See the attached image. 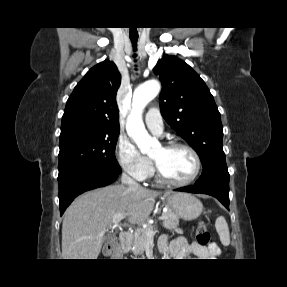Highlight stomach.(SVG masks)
I'll return each mask as SVG.
<instances>
[{"mask_svg":"<svg viewBox=\"0 0 287 287\" xmlns=\"http://www.w3.org/2000/svg\"><path fill=\"white\" fill-rule=\"evenodd\" d=\"M166 205L179 218L186 221L197 219L203 210L201 201L188 193L172 192L165 194Z\"/></svg>","mask_w":287,"mask_h":287,"instance_id":"stomach-1","label":"stomach"}]
</instances>
